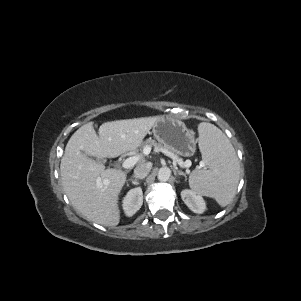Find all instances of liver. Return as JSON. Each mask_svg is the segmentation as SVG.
Returning <instances> with one entry per match:
<instances>
[{
	"instance_id": "liver-1",
	"label": "liver",
	"mask_w": 301,
	"mask_h": 301,
	"mask_svg": "<svg viewBox=\"0 0 301 301\" xmlns=\"http://www.w3.org/2000/svg\"><path fill=\"white\" fill-rule=\"evenodd\" d=\"M159 120L160 116H154L106 122L99 127V136L87 123L71 136L60 164L62 186L71 204L88 220L103 226L119 224L118 200L127 172L106 169L87 155L103 159L136 151Z\"/></svg>"
}]
</instances>
